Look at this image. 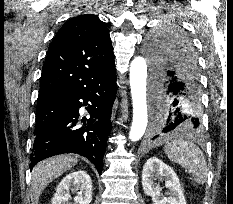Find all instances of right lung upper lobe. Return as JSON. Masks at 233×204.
I'll return each mask as SVG.
<instances>
[{
	"label": "right lung upper lobe",
	"mask_w": 233,
	"mask_h": 204,
	"mask_svg": "<svg viewBox=\"0 0 233 204\" xmlns=\"http://www.w3.org/2000/svg\"><path fill=\"white\" fill-rule=\"evenodd\" d=\"M114 66L106 23L97 15L68 20L51 42L42 69L39 101L70 91Z\"/></svg>",
	"instance_id": "1"
}]
</instances>
